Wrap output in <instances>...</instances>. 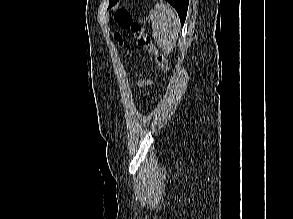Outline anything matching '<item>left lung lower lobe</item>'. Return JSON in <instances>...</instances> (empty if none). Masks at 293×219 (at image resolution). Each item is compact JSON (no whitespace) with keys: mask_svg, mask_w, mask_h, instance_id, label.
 <instances>
[{"mask_svg":"<svg viewBox=\"0 0 293 219\" xmlns=\"http://www.w3.org/2000/svg\"><path fill=\"white\" fill-rule=\"evenodd\" d=\"M166 1L169 2L176 9V11L180 17L181 24L183 25L185 22V19H186V15H187L189 0H166ZM113 5H111V6H113Z\"/></svg>","mask_w":293,"mask_h":219,"instance_id":"0a47b994","label":"left lung lower lobe"}]
</instances>
